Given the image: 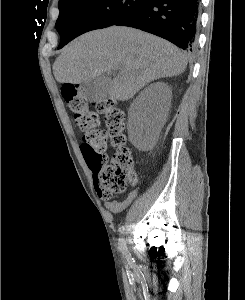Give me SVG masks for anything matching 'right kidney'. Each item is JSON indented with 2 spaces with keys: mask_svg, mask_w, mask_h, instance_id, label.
Masks as SVG:
<instances>
[{
  "mask_svg": "<svg viewBox=\"0 0 245 300\" xmlns=\"http://www.w3.org/2000/svg\"><path fill=\"white\" fill-rule=\"evenodd\" d=\"M172 90L163 82L146 87L136 97L128 110V136L141 151H148L156 144L166 122L171 104Z\"/></svg>",
  "mask_w": 245,
  "mask_h": 300,
  "instance_id": "ca27d5eb",
  "label": "right kidney"
}]
</instances>
